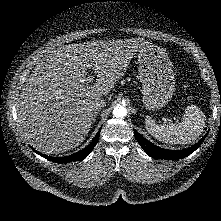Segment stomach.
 <instances>
[{
	"label": "stomach",
	"instance_id": "0dacf381",
	"mask_svg": "<svg viewBox=\"0 0 221 221\" xmlns=\"http://www.w3.org/2000/svg\"><path fill=\"white\" fill-rule=\"evenodd\" d=\"M138 58L143 105L148 110L160 109L175 91L171 62L162 49L151 44L139 50Z\"/></svg>",
	"mask_w": 221,
	"mask_h": 221
}]
</instances>
